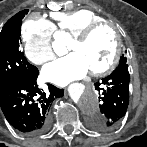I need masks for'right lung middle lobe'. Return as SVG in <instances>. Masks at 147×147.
Masks as SVG:
<instances>
[{
	"instance_id": "right-lung-middle-lobe-1",
	"label": "right lung middle lobe",
	"mask_w": 147,
	"mask_h": 147,
	"mask_svg": "<svg viewBox=\"0 0 147 147\" xmlns=\"http://www.w3.org/2000/svg\"><path fill=\"white\" fill-rule=\"evenodd\" d=\"M27 12L21 11L10 18L0 33V86L37 71L19 48L22 19Z\"/></svg>"
}]
</instances>
